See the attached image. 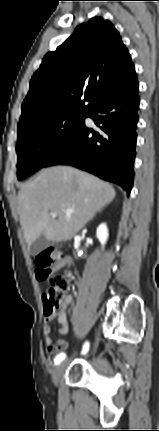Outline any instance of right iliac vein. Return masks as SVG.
I'll return each instance as SVG.
<instances>
[{
  "instance_id": "obj_1",
  "label": "right iliac vein",
  "mask_w": 159,
  "mask_h": 431,
  "mask_svg": "<svg viewBox=\"0 0 159 431\" xmlns=\"http://www.w3.org/2000/svg\"><path fill=\"white\" fill-rule=\"evenodd\" d=\"M97 343H98V336H96V345ZM66 366H67V361H63L55 367L54 373H53V381L55 384H58L61 376L65 371Z\"/></svg>"
}]
</instances>
